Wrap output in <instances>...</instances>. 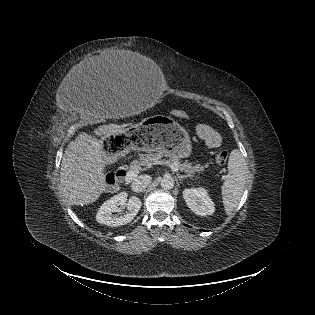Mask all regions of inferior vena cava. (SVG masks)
<instances>
[{
	"instance_id": "inferior-vena-cava-1",
	"label": "inferior vena cava",
	"mask_w": 315,
	"mask_h": 315,
	"mask_svg": "<svg viewBox=\"0 0 315 315\" xmlns=\"http://www.w3.org/2000/svg\"><path fill=\"white\" fill-rule=\"evenodd\" d=\"M152 178L149 175H140L133 180L131 189L134 192H142L150 183Z\"/></svg>"
}]
</instances>
